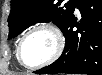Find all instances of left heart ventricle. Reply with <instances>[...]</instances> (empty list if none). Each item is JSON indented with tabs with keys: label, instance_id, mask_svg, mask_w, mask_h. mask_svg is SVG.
I'll list each match as a JSON object with an SVG mask.
<instances>
[{
	"label": "left heart ventricle",
	"instance_id": "b2bd125f",
	"mask_svg": "<svg viewBox=\"0 0 102 75\" xmlns=\"http://www.w3.org/2000/svg\"><path fill=\"white\" fill-rule=\"evenodd\" d=\"M56 45V39L52 32L45 29L36 30L23 43V60L27 64L45 61L53 55Z\"/></svg>",
	"mask_w": 102,
	"mask_h": 75
}]
</instances>
